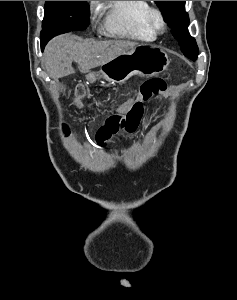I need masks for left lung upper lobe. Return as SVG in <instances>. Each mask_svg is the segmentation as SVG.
I'll return each instance as SVG.
<instances>
[{"label":"left lung upper lobe","mask_w":237,"mask_h":300,"mask_svg":"<svg viewBox=\"0 0 237 300\" xmlns=\"http://www.w3.org/2000/svg\"><path fill=\"white\" fill-rule=\"evenodd\" d=\"M167 24L173 29L172 34L186 57L195 61L198 56L196 41L188 32L189 17L185 12L186 1H155Z\"/></svg>","instance_id":"left-lung-upper-lobe-1"}]
</instances>
